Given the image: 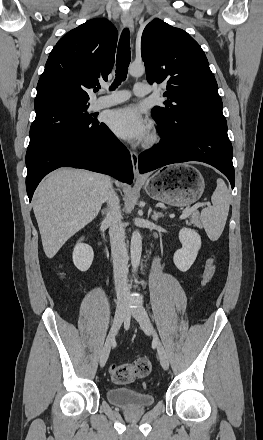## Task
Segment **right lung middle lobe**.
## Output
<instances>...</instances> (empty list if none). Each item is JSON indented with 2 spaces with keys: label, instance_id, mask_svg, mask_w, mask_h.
<instances>
[{
  "label": "right lung middle lobe",
  "instance_id": "right-lung-middle-lobe-1",
  "mask_svg": "<svg viewBox=\"0 0 263 440\" xmlns=\"http://www.w3.org/2000/svg\"><path fill=\"white\" fill-rule=\"evenodd\" d=\"M88 107V103L60 102L45 108H35L36 117L30 128V143L27 149L62 133L96 128L100 122L87 112Z\"/></svg>",
  "mask_w": 263,
  "mask_h": 440
}]
</instances>
